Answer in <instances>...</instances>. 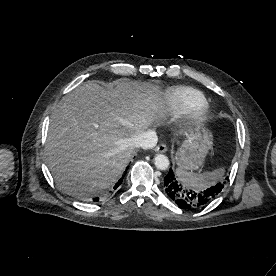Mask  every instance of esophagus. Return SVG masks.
<instances>
[{
    "label": "esophagus",
    "mask_w": 276,
    "mask_h": 276,
    "mask_svg": "<svg viewBox=\"0 0 276 276\" xmlns=\"http://www.w3.org/2000/svg\"><path fill=\"white\" fill-rule=\"evenodd\" d=\"M154 150L159 153H165L167 151V146L164 143H161L156 146Z\"/></svg>",
    "instance_id": "1"
}]
</instances>
